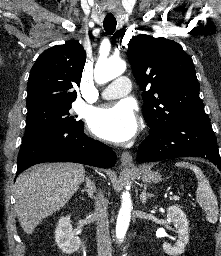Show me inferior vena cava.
Masks as SVG:
<instances>
[{
  "instance_id": "602c4592",
  "label": "inferior vena cava",
  "mask_w": 221,
  "mask_h": 256,
  "mask_svg": "<svg viewBox=\"0 0 221 256\" xmlns=\"http://www.w3.org/2000/svg\"><path fill=\"white\" fill-rule=\"evenodd\" d=\"M95 218L98 256H111L107 199L101 191L95 198Z\"/></svg>"
}]
</instances>
